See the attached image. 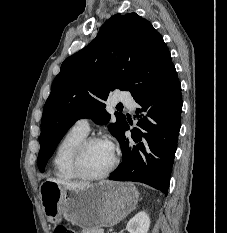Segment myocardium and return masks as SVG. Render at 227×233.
Segmentation results:
<instances>
[{
	"mask_svg": "<svg viewBox=\"0 0 227 233\" xmlns=\"http://www.w3.org/2000/svg\"><path fill=\"white\" fill-rule=\"evenodd\" d=\"M97 142H107V141L100 137H96V136L86 137L75 148L73 155H72L71 165H72V169L74 173L78 176V178H81L84 180H90V181L101 180V179L108 177L113 172V170L116 168L119 162V157H118L116 150L113 147L112 148L113 150L112 162L104 172L99 173V174H91V173H88L84 169L83 158H84L85 152L91 144L97 143Z\"/></svg>",
	"mask_w": 227,
	"mask_h": 233,
	"instance_id": "obj_1",
	"label": "myocardium"
}]
</instances>
